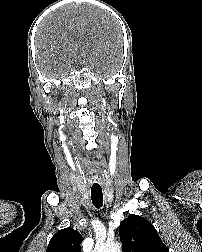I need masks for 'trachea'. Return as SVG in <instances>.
Returning a JSON list of instances; mask_svg holds the SVG:
<instances>
[{
  "mask_svg": "<svg viewBox=\"0 0 202 252\" xmlns=\"http://www.w3.org/2000/svg\"><path fill=\"white\" fill-rule=\"evenodd\" d=\"M92 203L96 208H101L103 205V193L100 187L91 188Z\"/></svg>",
  "mask_w": 202,
  "mask_h": 252,
  "instance_id": "1",
  "label": "trachea"
}]
</instances>
